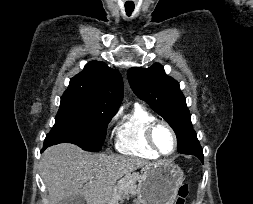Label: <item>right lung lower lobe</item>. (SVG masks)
<instances>
[{"label":"right lung lower lobe","mask_w":253,"mask_h":204,"mask_svg":"<svg viewBox=\"0 0 253 204\" xmlns=\"http://www.w3.org/2000/svg\"><path fill=\"white\" fill-rule=\"evenodd\" d=\"M48 146H49L48 144H44L42 151H44Z\"/></svg>","instance_id":"1"}]
</instances>
